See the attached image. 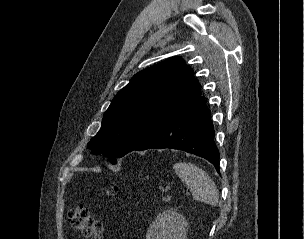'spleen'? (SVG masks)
<instances>
[{
    "label": "spleen",
    "mask_w": 304,
    "mask_h": 239,
    "mask_svg": "<svg viewBox=\"0 0 304 239\" xmlns=\"http://www.w3.org/2000/svg\"><path fill=\"white\" fill-rule=\"evenodd\" d=\"M173 169L181 181L190 188L194 200L204 202L210 206L218 204L217 187L204 170L190 162L175 163Z\"/></svg>",
    "instance_id": "spleen-1"
}]
</instances>
